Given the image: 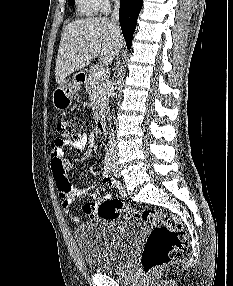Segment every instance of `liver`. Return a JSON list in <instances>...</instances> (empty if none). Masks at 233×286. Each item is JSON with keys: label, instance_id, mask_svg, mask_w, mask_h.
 Masks as SVG:
<instances>
[{"label": "liver", "instance_id": "6515ba94", "mask_svg": "<svg viewBox=\"0 0 233 286\" xmlns=\"http://www.w3.org/2000/svg\"><path fill=\"white\" fill-rule=\"evenodd\" d=\"M123 42L119 25L106 17L85 18L68 23L58 49L56 82L62 84L68 75L84 68L98 55L105 64L112 63Z\"/></svg>", "mask_w": 233, "mask_h": 286}]
</instances>
